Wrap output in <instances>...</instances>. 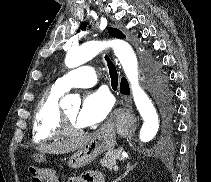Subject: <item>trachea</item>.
Returning <instances> with one entry per match:
<instances>
[{"mask_svg":"<svg viewBox=\"0 0 211 182\" xmlns=\"http://www.w3.org/2000/svg\"><path fill=\"white\" fill-rule=\"evenodd\" d=\"M105 60L107 61V65H108V68H109L111 85L114 86V87H117V85H118L117 70H116L114 64L112 63V61L110 60V58L108 56H105Z\"/></svg>","mask_w":211,"mask_h":182,"instance_id":"trachea-1","label":"trachea"}]
</instances>
